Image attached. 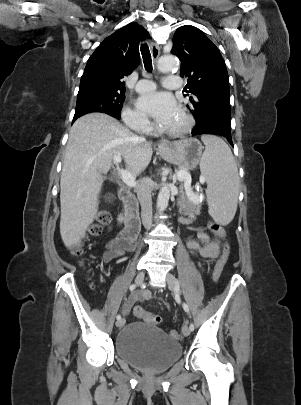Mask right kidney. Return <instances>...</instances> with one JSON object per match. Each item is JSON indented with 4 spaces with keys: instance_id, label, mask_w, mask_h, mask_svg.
Wrapping results in <instances>:
<instances>
[{
    "instance_id": "1",
    "label": "right kidney",
    "mask_w": 301,
    "mask_h": 405,
    "mask_svg": "<svg viewBox=\"0 0 301 405\" xmlns=\"http://www.w3.org/2000/svg\"><path fill=\"white\" fill-rule=\"evenodd\" d=\"M123 220H124L123 215H119V217H118V221L121 223V222H123Z\"/></svg>"
}]
</instances>
